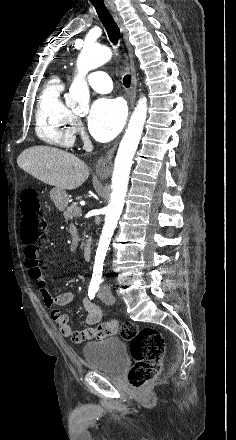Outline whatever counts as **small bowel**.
Segmentation results:
<instances>
[{"instance_id":"1","label":"small bowel","mask_w":236,"mask_h":440,"mask_svg":"<svg viewBox=\"0 0 236 440\" xmlns=\"http://www.w3.org/2000/svg\"><path fill=\"white\" fill-rule=\"evenodd\" d=\"M24 258L28 275L34 281L44 305L51 309V318L58 325L59 332L63 337H71L72 341L76 344L83 343L89 339H96L97 342H106L107 339L115 337L114 330L117 329V322L100 321V309L87 297L83 299V307L86 311L85 322L88 327L84 330H80L78 327L72 328L69 315L62 312L60 308L69 305L73 301V293L66 291L57 296L50 294L38 262V249L34 244L25 243Z\"/></svg>"}]
</instances>
